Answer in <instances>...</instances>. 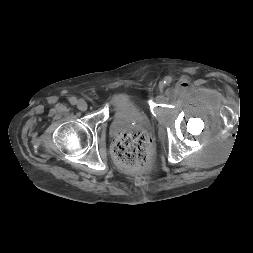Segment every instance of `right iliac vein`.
I'll list each match as a JSON object with an SVG mask.
<instances>
[{"label": "right iliac vein", "instance_id": "1", "mask_svg": "<svg viewBox=\"0 0 253 253\" xmlns=\"http://www.w3.org/2000/svg\"><path fill=\"white\" fill-rule=\"evenodd\" d=\"M77 106H78V109L81 110V111H85V110H87V108H88L87 103H86L83 99H80V100L78 101Z\"/></svg>", "mask_w": 253, "mask_h": 253}]
</instances>
